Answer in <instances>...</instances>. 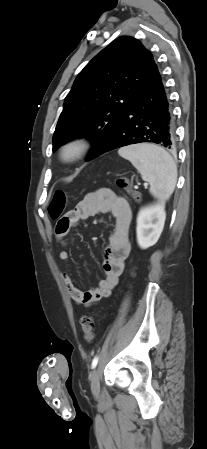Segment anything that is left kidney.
I'll return each mask as SVG.
<instances>
[{"mask_svg": "<svg viewBox=\"0 0 207 449\" xmlns=\"http://www.w3.org/2000/svg\"><path fill=\"white\" fill-rule=\"evenodd\" d=\"M165 219L164 202L147 206L139 211L136 235L140 248L147 249L156 244L163 231Z\"/></svg>", "mask_w": 207, "mask_h": 449, "instance_id": "obj_1", "label": "left kidney"}]
</instances>
